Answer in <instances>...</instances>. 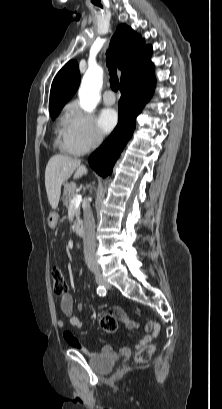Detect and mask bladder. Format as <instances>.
<instances>
[{
    "label": "bladder",
    "instance_id": "1",
    "mask_svg": "<svg viewBox=\"0 0 222 409\" xmlns=\"http://www.w3.org/2000/svg\"><path fill=\"white\" fill-rule=\"evenodd\" d=\"M118 356L114 353H105L90 360L91 367L97 372L109 371L117 362Z\"/></svg>",
    "mask_w": 222,
    "mask_h": 409
}]
</instances>
